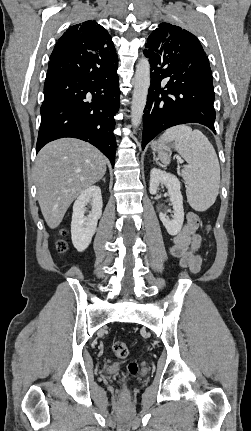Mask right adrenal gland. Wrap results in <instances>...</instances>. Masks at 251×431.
I'll return each instance as SVG.
<instances>
[{
  "label": "right adrenal gland",
  "mask_w": 251,
  "mask_h": 431,
  "mask_svg": "<svg viewBox=\"0 0 251 431\" xmlns=\"http://www.w3.org/2000/svg\"><path fill=\"white\" fill-rule=\"evenodd\" d=\"M102 181L105 183L106 182V179H105V177L102 179Z\"/></svg>",
  "instance_id": "1"
}]
</instances>
